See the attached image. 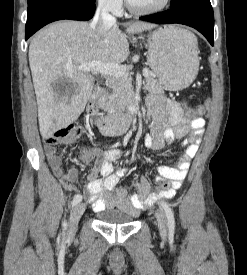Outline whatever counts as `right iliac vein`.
Instances as JSON below:
<instances>
[{
	"mask_svg": "<svg viewBox=\"0 0 247 275\" xmlns=\"http://www.w3.org/2000/svg\"><path fill=\"white\" fill-rule=\"evenodd\" d=\"M85 211V204L78 203L76 204L70 214L69 225H68V237H73L76 233L78 222Z\"/></svg>",
	"mask_w": 247,
	"mask_h": 275,
	"instance_id": "obj_1",
	"label": "right iliac vein"
}]
</instances>
